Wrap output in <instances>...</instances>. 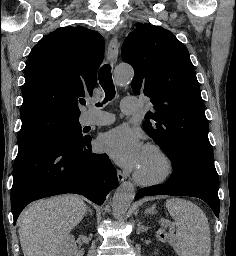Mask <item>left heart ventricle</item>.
<instances>
[{
	"label": "left heart ventricle",
	"mask_w": 236,
	"mask_h": 256,
	"mask_svg": "<svg viewBox=\"0 0 236 256\" xmlns=\"http://www.w3.org/2000/svg\"><path fill=\"white\" fill-rule=\"evenodd\" d=\"M161 169L160 158L155 153L145 149L136 171L142 176L150 178L158 175Z\"/></svg>",
	"instance_id": "left-heart-ventricle-1"
}]
</instances>
